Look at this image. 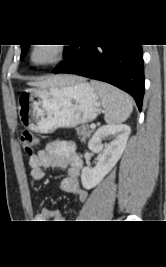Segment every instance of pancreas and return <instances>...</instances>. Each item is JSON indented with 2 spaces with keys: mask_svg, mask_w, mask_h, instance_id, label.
<instances>
[{
  "mask_svg": "<svg viewBox=\"0 0 166 267\" xmlns=\"http://www.w3.org/2000/svg\"><path fill=\"white\" fill-rule=\"evenodd\" d=\"M77 135L79 136L82 142H86V140L91 136L93 130L90 129L89 125H81L76 128Z\"/></svg>",
  "mask_w": 166,
  "mask_h": 267,
  "instance_id": "pancreas-1",
  "label": "pancreas"
}]
</instances>
